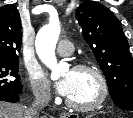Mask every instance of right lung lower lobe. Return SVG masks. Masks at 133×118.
I'll use <instances>...</instances> for the list:
<instances>
[{
  "label": "right lung lower lobe",
  "mask_w": 133,
  "mask_h": 118,
  "mask_svg": "<svg viewBox=\"0 0 133 118\" xmlns=\"http://www.w3.org/2000/svg\"><path fill=\"white\" fill-rule=\"evenodd\" d=\"M22 91V87L12 92H0V101L17 102L19 100V94Z\"/></svg>",
  "instance_id": "1"
}]
</instances>
